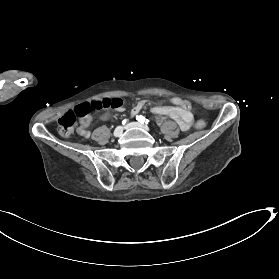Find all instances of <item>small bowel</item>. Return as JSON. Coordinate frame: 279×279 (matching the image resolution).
Masks as SVG:
<instances>
[{"label": "small bowel", "instance_id": "small-bowel-1", "mask_svg": "<svg viewBox=\"0 0 279 279\" xmlns=\"http://www.w3.org/2000/svg\"><path fill=\"white\" fill-rule=\"evenodd\" d=\"M172 103L173 106H155L152 108V112L158 116H168L172 118L177 122L182 131H188L192 125V114L182 107L179 98H173ZM147 104V100H141L136 103V105L131 110L132 117H135ZM116 110L122 112L124 111V108L121 106ZM101 118L106 120L109 118V114L104 113L101 115ZM91 120V116L85 117L78 129V133L85 138L90 136L88 127L91 123Z\"/></svg>", "mask_w": 279, "mask_h": 279}]
</instances>
